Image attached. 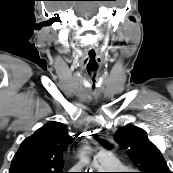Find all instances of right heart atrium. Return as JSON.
<instances>
[{"instance_id":"1","label":"right heart atrium","mask_w":173,"mask_h":173,"mask_svg":"<svg viewBox=\"0 0 173 173\" xmlns=\"http://www.w3.org/2000/svg\"><path fill=\"white\" fill-rule=\"evenodd\" d=\"M72 169H73V172H72V173H81V172L79 171V169H80L79 166H74V167H72Z\"/></svg>"}]
</instances>
